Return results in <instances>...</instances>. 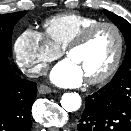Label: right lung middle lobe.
I'll return each instance as SVG.
<instances>
[{"mask_svg": "<svg viewBox=\"0 0 131 131\" xmlns=\"http://www.w3.org/2000/svg\"><path fill=\"white\" fill-rule=\"evenodd\" d=\"M26 14V11L0 15V55L11 56V38L15 24Z\"/></svg>", "mask_w": 131, "mask_h": 131, "instance_id": "1", "label": "right lung middle lobe"}]
</instances>
